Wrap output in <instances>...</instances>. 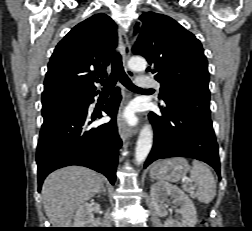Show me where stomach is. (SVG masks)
<instances>
[{
	"mask_svg": "<svg viewBox=\"0 0 252 231\" xmlns=\"http://www.w3.org/2000/svg\"><path fill=\"white\" fill-rule=\"evenodd\" d=\"M188 171L187 160L176 157L156 162L150 170V176L159 181L176 182L183 178Z\"/></svg>",
	"mask_w": 252,
	"mask_h": 231,
	"instance_id": "obj_1",
	"label": "stomach"
}]
</instances>
